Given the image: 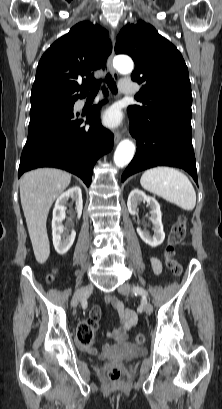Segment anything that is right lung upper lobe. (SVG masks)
I'll list each match as a JSON object with an SVG mask.
<instances>
[{"label": "right lung upper lobe", "mask_w": 222, "mask_h": 409, "mask_svg": "<svg viewBox=\"0 0 222 409\" xmlns=\"http://www.w3.org/2000/svg\"><path fill=\"white\" fill-rule=\"evenodd\" d=\"M108 32L100 25L83 21L43 54L32 87L31 107L43 104H73L88 94L87 83L95 81L111 53ZM86 77V79H83Z\"/></svg>", "instance_id": "obj_1"}]
</instances>
